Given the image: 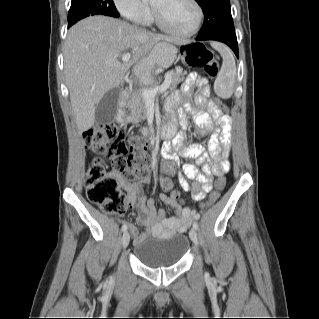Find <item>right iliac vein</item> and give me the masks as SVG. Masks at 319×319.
<instances>
[{
    "label": "right iliac vein",
    "mask_w": 319,
    "mask_h": 319,
    "mask_svg": "<svg viewBox=\"0 0 319 319\" xmlns=\"http://www.w3.org/2000/svg\"><path fill=\"white\" fill-rule=\"evenodd\" d=\"M129 242H130V234L129 232L126 231L123 233V236H122V241H121L122 248L125 249L128 246Z\"/></svg>",
    "instance_id": "1"
}]
</instances>
